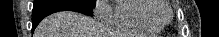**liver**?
I'll use <instances>...</instances> for the list:
<instances>
[{
  "mask_svg": "<svg viewBox=\"0 0 219 37\" xmlns=\"http://www.w3.org/2000/svg\"><path fill=\"white\" fill-rule=\"evenodd\" d=\"M102 34L95 20L78 12L61 11L43 19L35 37H101Z\"/></svg>",
  "mask_w": 219,
  "mask_h": 37,
  "instance_id": "6515ba94",
  "label": "liver"
}]
</instances>
